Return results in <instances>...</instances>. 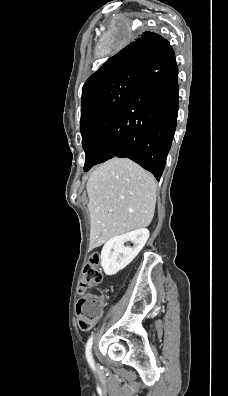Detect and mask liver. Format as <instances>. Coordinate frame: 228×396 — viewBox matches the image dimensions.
Masks as SVG:
<instances>
[{
    "instance_id": "1",
    "label": "liver",
    "mask_w": 228,
    "mask_h": 396,
    "mask_svg": "<svg viewBox=\"0 0 228 396\" xmlns=\"http://www.w3.org/2000/svg\"><path fill=\"white\" fill-rule=\"evenodd\" d=\"M90 247L147 227L154 216L156 182L128 158H113L96 167L87 182Z\"/></svg>"
}]
</instances>
